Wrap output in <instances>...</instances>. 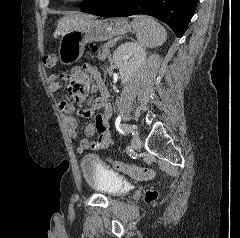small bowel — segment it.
I'll return each mask as SVG.
<instances>
[{
	"label": "small bowel",
	"instance_id": "obj_1",
	"mask_svg": "<svg viewBox=\"0 0 240 238\" xmlns=\"http://www.w3.org/2000/svg\"><path fill=\"white\" fill-rule=\"evenodd\" d=\"M90 78H92L96 87L99 89L100 96L96 98L90 109L79 112L86 118H94L85 127V135L92 137L96 132L100 135L96 140L90 141L83 138L77 145V152L81 153L86 149H102L107 148L113 143L112 136L109 132L110 118L112 115V105L109 101V93L103 83L102 77L97 68L91 64H85L82 67H74L69 76L53 74L49 77V89L51 92L58 91L64 82H68V90L70 95L78 102L84 101L90 89ZM59 109L63 115V121L70 138L77 137V120L73 114L76 108L72 103L61 101Z\"/></svg>",
	"mask_w": 240,
	"mask_h": 238
}]
</instances>
